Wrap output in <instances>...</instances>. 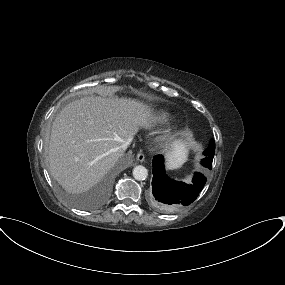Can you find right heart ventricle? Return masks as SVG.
Listing matches in <instances>:
<instances>
[{
  "label": "right heart ventricle",
  "instance_id": "1",
  "mask_svg": "<svg viewBox=\"0 0 285 285\" xmlns=\"http://www.w3.org/2000/svg\"><path fill=\"white\" fill-rule=\"evenodd\" d=\"M170 120V115L165 112L157 113L153 116L152 122L156 125H164Z\"/></svg>",
  "mask_w": 285,
  "mask_h": 285
}]
</instances>
